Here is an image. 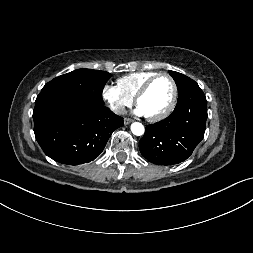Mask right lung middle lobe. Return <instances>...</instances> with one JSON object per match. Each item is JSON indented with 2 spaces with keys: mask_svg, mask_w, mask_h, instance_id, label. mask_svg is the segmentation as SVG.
<instances>
[{
  "mask_svg": "<svg viewBox=\"0 0 253 253\" xmlns=\"http://www.w3.org/2000/svg\"><path fill=\"white\" fill-rule=\"evenodd\" d=\"M110 77L111 74L105 71L78 69L54 78L41 92L78 96L103 104L102 91Z\"/></svg>",
  "mask_w": 253,
  "mask_h": 253,
  "instance_id": "obj_1",
  "label": "right lung middle lobe"
}]
</instances>
